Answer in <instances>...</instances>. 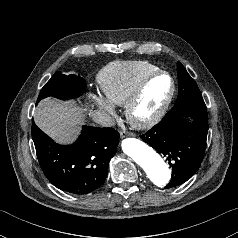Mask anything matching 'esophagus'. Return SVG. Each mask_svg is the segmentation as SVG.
<instances>
[{"instance_id":"esophagus-1","label":"esophagus","mask_w":238,"mask_h":238,"mask_svg":"<svg viewBox=\"0 0 238 238\" xmlns=\"http://www.w3.org/2000/svg\"><path fill=\"white\" fill-rule=\"evenodd\" d=\"M130 133H128V132H126V131H121L120 132V136H121V138H124V137H126L127 135H129Z\"/></svg>"}]
</instances>
